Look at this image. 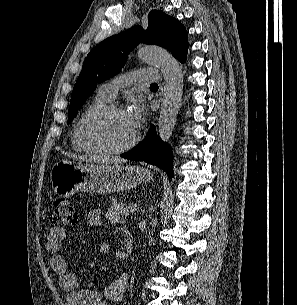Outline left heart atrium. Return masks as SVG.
Returning <instances> with one entry per match:
<instances>
[{"label":"left heart atrium","mask_w":297,"mask_h":305,"mask_svg":"<svg viewBox=\"0 0 297 305\" xmlns=\"http://www.w3.org/2000/svg\"><path fill=\"white\" fill-rule=\"evenodd\" d=\"M126 115L135 131L139 130L144 121V111L141 103L135 101L133 105L127 110Z\"/></svg>","instance_id":"39dd6f15"}]
</instances>
